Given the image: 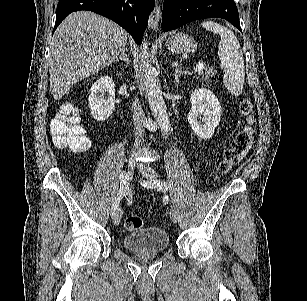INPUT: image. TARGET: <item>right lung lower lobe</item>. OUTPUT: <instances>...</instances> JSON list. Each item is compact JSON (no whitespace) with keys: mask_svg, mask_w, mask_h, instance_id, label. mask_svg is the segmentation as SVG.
I'll return each instance as SVG.
<instances>
[{"mask_svg":"<svg viewBox=\"0 0 307 301\" xmlns=\"http://www.w3.org/2000/svg\"><path fill=\"white\" fill-rule=\"evenodd\" d=\"M153 9L154 0H59L54 31L70 13L89 10L113 20L140 44Z\"/></svg>","mask_w":307,"mask_h":301,"instance_id":"1","label":"right lung lower lobe"}]
</instances>
